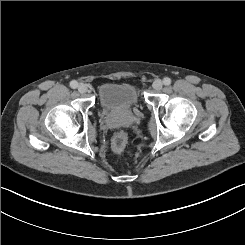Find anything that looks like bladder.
Returning a JSON list of instances; mask_svg holds the SVG:
<instances>
[{
    "label": "bladder",
    "instance_id": "31cf9c89",
    "mask_svg": "<svg viewBox=\"0 0 245 245\" xmlns=\"http://www.w3.org/2000/svg\"><path fill=\"white\" fill-rule=\"evenodd\" d=\"M100 98L106 108L132 110L140 103L137 90L132 85L106 84L100 88Z\"/></svg>",
    "mask_w": 245,
    "mask_h": 245
}]
</instances>
